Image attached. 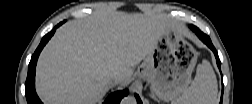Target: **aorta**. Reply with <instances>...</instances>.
<instances>
[{"label": "aorta", "mask_w": 252, "mask_h": 104, "mask_svg": "<svg viewBox=\"0 0 252 104\" xmlns=\"http://www.w3.org/2000/svg\"><path fill=\"white\" fill-rule=\"evenodd\" d=\"M136 102L134 97L127 96L123 99L124 104H134Z\"/></svg>", "instance_id": "obj_1"}]
</instances>
